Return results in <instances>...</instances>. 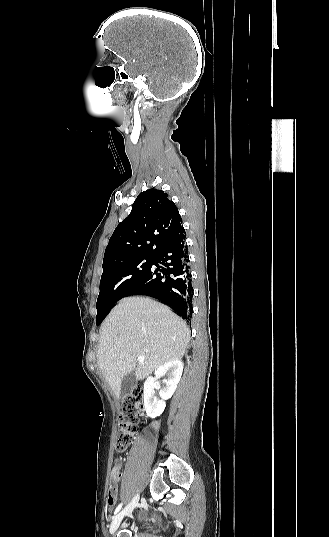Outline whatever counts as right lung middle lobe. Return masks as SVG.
I'll use <instances>...</instances> for the list:
<instances>
[{
  "instance_id": "obj_1",
  "label": "right lung middle lobe",
  "mask_w": 329,
  "mask_h": 537,
  "mask_svg": "<svg viewBox=\"0 0 329 537\" xmlns=\"http://www.w3.org/2000/svg\"><path fill=\"white\" fill-rule=\"evenodd\" d=\"M152 257H144L130 262L103 269L100 293L97 299L96 322L99 325L109 313L110 308L140 280L149 268Z\"/></svg>"
}]
</instances>
